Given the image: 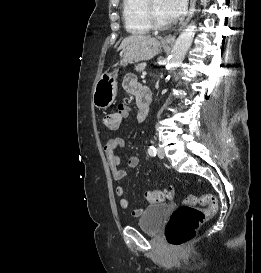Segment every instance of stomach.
<instances>
[{"instance_id": "obj_1", "label": "stomach", "mask_w": 261, "mask_h": 273, "mask_svg": "<svg viewBox=\"0 0 261 273\" xmlns=\"http://www.w3.org/2000/svg\"><path fill=\"white\" fill-rule=\"evenodd\" d=\"M164 44L156 38L139 40L128 44L121 50L120 65L126 66L133 61L153 58L162 51ZM117 95V70L105 71L93 87V104L99 109H107Z\"/></svg>"}]
</instances>
